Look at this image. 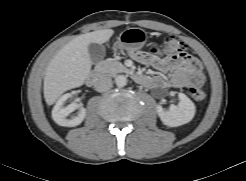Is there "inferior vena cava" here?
Wrapping results in <instances>:
<instances>
[{
    "label": "inferior vena cava",
    "instance_id": "1",
    "mask_svg": "<svg viewBox=\"0 0 246 181\" xmlns=\"http://www.w3.org/2000/svg\"><path fill=\"white\" fill-rule=\"evenodd\" d=\"M113 82L109 77H101L97 80L95 84V89L98 92H104L112 88Z\"/></svg>",
    "mask_w": 246,
    "mask_h": 181
}]
</instances>
